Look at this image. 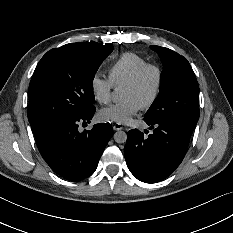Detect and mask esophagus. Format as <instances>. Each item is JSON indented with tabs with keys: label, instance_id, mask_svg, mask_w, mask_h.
<instances>
[{
	"label": "esophagus",
	"instance_id": "obj_1",
	"mask_svg": "<svg viewBox=\"0 0 233 233\" xmlns=\"http://www.w3.org/2000/svg\"><path fill=\"white\" fill-rule=\"evenodd\" d=\"M113 129L115 131L122 130L123 129V125L120 124V123H113Z\"/></svg>",
	"mask_w": 233,
	"mask_h": 233
}]
</instances>
